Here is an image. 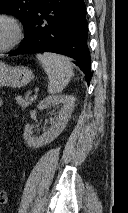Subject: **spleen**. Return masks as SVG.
<instances>
[{
	"instance_id": "3e777b00",
	"label": "spleen",
	"mask_w": 128,
	"mask_h": 213,
	"mask_svg": "<svg viewBox=\"0 0 128 213\" xmlns=\"http://www.w3.org/2000/svg\"><path fill=\"white\" fill-rule=\"evenodd\" d=\"M43 69L48 75V93H60L70 82L73 76V69L67 57L54 53L37 54Z\"/></svg>"
}]
</instances>
